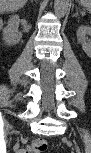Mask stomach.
I'll use <instances>...</instances> for the list:
<instances>
[{
  "instance_id": "1",
  "label": "stomach",
  "mask_w": 91,
  "mask_h": 153,
  "mask_svg": "<svg viewBox=\"0 0 91 153\" xmlns=\"http://www.w3.org/2000/svg\"><path fill=\"white\" fill-rule=\"evenodd\" d=\"M82 3H83V5L89 7L90 4H91V1L90 0H84V1H82Z\"/></svg>"
}]
</instances>
